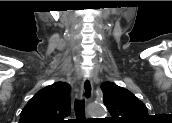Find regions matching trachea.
<instances>
[{"label":"trachea","mask_w":172,"mask_h":123,"mask_svg":"<svg viewBox=\"0 0 172 123\" xmlns=\"http://www.w3.org/2000/svg\"><path fill=\"white\" fill-rule=\"evenodd\" d=\"M75 114L76 120H83L85 115V104L84 100L75 101Z\"/></svg>","instance_id":"trachea-1"}]
</instances>
